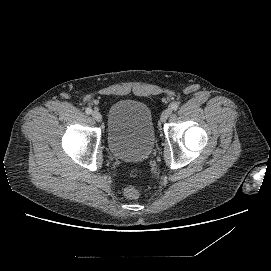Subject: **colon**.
Returning a JSON list of instances; mask_svg holds the SVG:
<instances>
[{
	"label": "colon",
	"mask_w": 271,
	"mask_h": 271,
	"mask_svg": "<svg viewBox=\"0 0 271 271\" xmlns=\"http://www.w3.org/2000/svg\"><path fill=\"white\" fill-rule=\"evenodd\" d=\"M141 194V189L137 186H128L124 190V195L128 199H137Z\"/></svg>",
	"instance_id": "obj_1"
}]
</instances>
